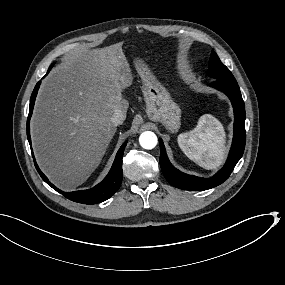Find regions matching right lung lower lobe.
I'll return each mask as SVG.
<instances>
[{"label": "right lung lower lobe", "instance_id": "1", "mask_svg": "<svg viewBox=\"0 0 285 285\" xmlns=\"http://www.w3.org/2000/svg\"><path fill=\"white\" fill-rule=\"evenodd\" d=\"M51 68L49 67L48 72ZM40 84H41L40 81L36 84L32 92L31 99H30L29 115H28V120H27V138L30 143V147H31V138H30L29 121L32 115L35 98H36ZM126 144H127V141L119 149L110 172L108 173V175L105 177V179L102 182H100L98 185H96L95 187L91 189L82 190V191H74V192H63L60 189L56 188L52 183H50L47 177L40 171L38 165L36 164L32 148H31V151H32V156L34 159L35 167L38 173L49 186H51L53 189H55L56 191L64 195L67 199L72 200L74 202L83 203V204H97V203H100L110 198L119 189L121 185L122 176H123L122 157H123Z\"/></svg>", "mask_w": 285, "mask_h": 285}]
</instances>
